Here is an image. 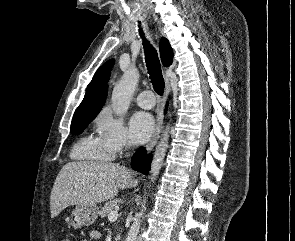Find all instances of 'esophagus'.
Listing matches in <instances>:
<instances>
[{
    "instance_id": "1",
    "label": "esophagus",
    "mask_w": 295,
    "mask_h": 241,
    "mask_svg": "<svg viewBox=\"0 0 295 241\" xmlns=\"http://www.w3.org/2000/svg\"><path fill=\"white\" fill-rule=\"evenodd\" d=\"M165 84H166V88H165L164 97H163L162 103L160 104L159 109H158V114H157V119H156V128H155V131H154V134H153L151 140L146 145V150L147 151H150V150L153 149V147L157 143V140H158L159 135H160L161 130H162L164 104H165V101H166L167 96H168L169 91H170V82H169V79L167 77H165Z\"/></svg>"
}]
</instances>
